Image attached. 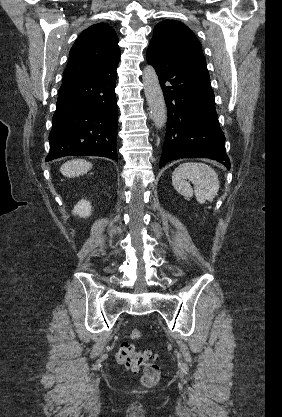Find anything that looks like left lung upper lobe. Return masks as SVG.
I'll use <instances>...</instances> for the list:
<instances>
[{
    "label": "left lung upper lobe",
    "instance_id": "1",
    "mask_svg": "<svg viewBox=\"0 0 282 417\" xmlns=\"http://www.w3.org/2000/svg\"><path fill=\"white\" fill-rule=\"evenodd\" d=\"M149 46L170 54L178 53L205 59L201 43L194 33L176 20L166 19L158 23Z\"/></svg>",
    "mask_w": 282,
    "mask_h": 417
}]
</instances>
